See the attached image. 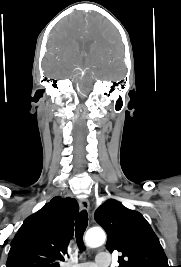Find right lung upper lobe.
<instances>
[{"mask_svg":"<svg viewBox=\"0 0 181 267\" xmlns=\"http://www.w3.org/2000/svg\"><path fill=\"white\" fill-rule=\"evenodd\" d=\"M78 208L75 199L56 196L29 216L11 243L6 267H59Z\"/></svg>","mask_w":181,"mask_h":267,"instance_id":"1","label":"right lung upper lobe"}]
</instances>
